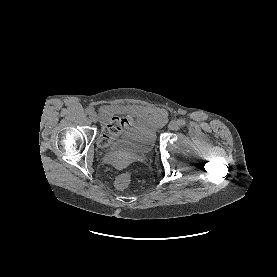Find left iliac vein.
<instances>
[{
	"mask_svg": "<svg viewBox=\"0 0 277 277\" xmlns=\"http://www.w3.org/2000/svg\"><path fill=\"white\" fill-rule=\"evenodd\" d=\"M168 127H169L170 130L175 131V130H178V129H179L180 124H179L178 121L172 120V121L169 123Z\"/></svg>",
	"mask_w": 277,
	"mask_h": 277,
	"instance_id": "4c4485c4",
	"label": "left iliac vein"
}]
</instances>
